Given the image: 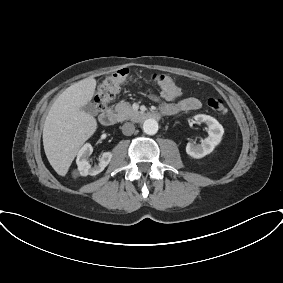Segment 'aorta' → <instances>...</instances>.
Listing matches in <instances>:
<instances>
[{
    "label": "aorta",
    "mask_w": 283,
    "mask_h": 283,
    "mask_svg": "<svg viewBox=\"0 0 283 283\" xmlns=\"http://www.w3.org/2000/svg\"><path fill=\"white\" fill-rule=\"evenodd\" d=\"M143 131L148 135H154L158 131V123L154 119H147L143 123Z\"/></svg>",
    "instance_id": "762f6f07"
}]
</instances>
